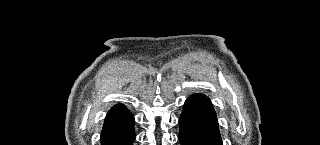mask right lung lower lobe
<instances>
[{
    "label": "right lung lower lobe",
    "instance_id": "1",
    "mask_svg": "<svg viewBox=\"0 0 320 145\" xmlns=\"http://www.w3.org/2000/svg\"><path fill=\"white\" fill-rule=\"evenodd\" d=\"M135 139L134 117L121 105L112 107L101 132V145H132Z\"/></svg>",
    "mask_w": 320,
    "mask_h": 145
}]
</instances>
